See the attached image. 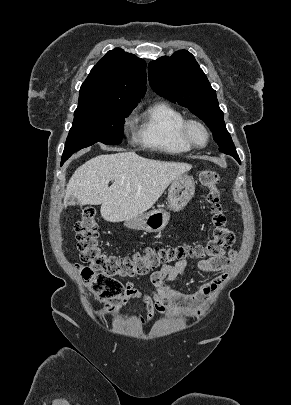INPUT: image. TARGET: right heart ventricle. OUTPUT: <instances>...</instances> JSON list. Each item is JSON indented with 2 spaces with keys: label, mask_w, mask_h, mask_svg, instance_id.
<instances>
[{
  "label": "right heart ventricle",
  "mask_w": 291,
  "mask_h": 405,
  "mask_svg": "<svg viewBox=\"0 0 291 405\" xmlns=\"http://www.w3.org/2000/svg\"><path fill=\"white\" fill-rule=\"evenodd\" d=\"M185 117L172 105L160 101L149 106L137 118L136 137L141 145L152 150L182 154L191 151L179 134Z\"/></svg>",
  "instance_id": "obj_1"
}]
</instances>
